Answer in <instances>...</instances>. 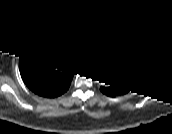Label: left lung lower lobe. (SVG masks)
I'll return each mask as SVG.
<instances>
[{
	"instance_id": "left-lung-lower-lobe-1",
	"label": "left lung lower lobe",
	"mask_w": 172,
	"mask_h": 134,
	"mask_svg": "<svg viewBox=\"0 0 172 134\" xmlns=\"http://www.w3.org/2000/svg\"><path fill=\"white\" fill-rule=\"evenodd\" d=\"M101 91L106 94V95H109V96H112L113 94H110V93H107L106 91H104L102 88H101Z\"/></svg>"
}]
</instances>
